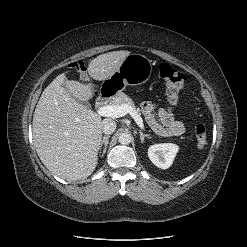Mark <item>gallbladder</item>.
<instances>
[{"mask_svg":"<svg viewBox=\"0 0 247 247\" xmlns=\"http://www.w3.org/2000/svg\"><path fill=\"white\" fill-rule=\"evenodd\" d=\"M66 81H67V80H65V82H64V84H63V87H64L65 89H67V88H66ZM76 100H77L78 102H80L81 104L85 105L86 107H88V108L90 107V103H89L88 101L80 100V99H77V98H76Z\"/></svg>","mask_w":247,"mask_h":247,"instance_id":"obj_1","label":"gallbladder"}]
</instances>
